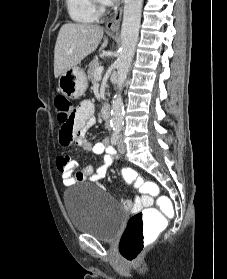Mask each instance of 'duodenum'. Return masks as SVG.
Masks as SVG:
<instances>
[{
  "label": "duodenum",
  "instance_id": "duodenum-1",
  "mask_svg": "<svg viewBox=\"0 0 227 279\" xmlns=\"http://www.w3.org/2000/svg\"><path fill=\"white\" fill-rule=\"evenodd\" d=\"M111 114V107L110 106H104L102 109V116L105 119H108L110 117Z\"/></svg>",
  "mask_w": 227,
  "mask_h": 279
}]
</instances>
